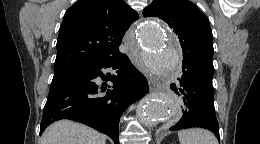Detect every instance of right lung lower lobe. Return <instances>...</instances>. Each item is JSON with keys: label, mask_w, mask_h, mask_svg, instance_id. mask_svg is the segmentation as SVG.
Masks as SVG:
<instances>
[{"label": "right lung lower lobe", "mask_w": 260, "mask_h": 144, "mask_svg": "<svg viewBox=\"0 0 260 144\" xmlns=\"http://www.w3.org/2000/svg\"><path fill=\"white\" fill-rule=\"evenodd\" d=\"M103 68H112L116 74L105 75ZM97 77L111 81L113 89L97 84ZM148 91L145 76L121 52L62 70L54 74L43 110L40 134L54 121L70 119L108 135L115 144H119L122 113Z\"/></svg>", "instance_id": "1"}]
</instances>
